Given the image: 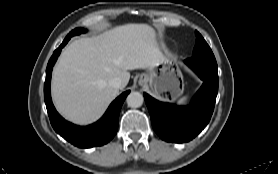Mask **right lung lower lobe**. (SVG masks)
I'll use <instances>...</instances> for the list:
<instances>
[{"instance_id": "right-lung-lower-lobe-1", "label": "right lung lower lobe", "mask_w": 278, "mask_h": 174, "mask_svg": "<svg viewBox=\"0 0 278 174\" xmlns=\"http://www.w3.org/2000/svg\"><path fill=\"white\" fill-rule=\"evenodd\" d=\"M68 41L69 38L66 36L63 43L54 51L46 68L44 99L50 122L59 135L77 147L89 148L93 146H101L108 143L115 136L118 128L120 110L130 91H126L116 98L111 103L104 116L98 122L90 126L80 127L64 120L53 106L50 95V81L53 65L55 64L61 49Z\"/></svg>"}]
</instances>
